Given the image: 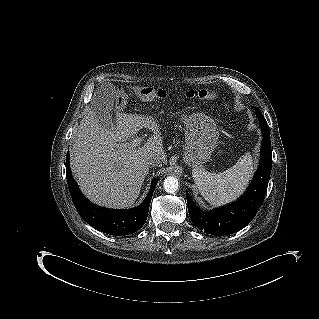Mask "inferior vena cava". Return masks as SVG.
Returning <instances> with one entry per match:
<instances>
[{
  "mask_svg": "<svg viewBox=\"0 0 319 319\" xmlns=\"http://www.w3.org/2000/svg\"><path fill=\"white\" fill-rule=\"evenodd\" d=\"M162 157L159 156V155H154V156H151L150 158L147 159V166L149 167H156L158 165H160L162 163Z\"/></svg>",
  "mask_w": 319,
  "mask_h": 319,
  "instance_id": "obj_1",
  "label": "inferior vena cava"
}]
</instances>
